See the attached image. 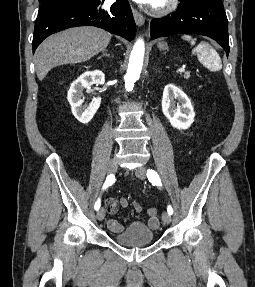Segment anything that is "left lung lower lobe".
<instances>
[{
    "label": "left lung lower lobe",
    "mask_w": 255,
    "mask_h": 287,
    "mask_svg": "<svg viewBox=\"0 0 255 287\" xmlns=\"http://www.w3.org/2000/svg\"><path fill=\"white\" fill-rule=\"evenodd\" d=\"M171 16L153 19L151 40L175 34H199L217 41L229 54L228 22L221 0H180Z\"/></svg>",
    "instance_id": "0a47b994"
}]
</instances>
